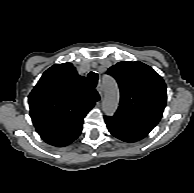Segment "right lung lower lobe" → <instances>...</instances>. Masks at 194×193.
<instances>
[{"mask_svg":"<svg viewBox=\"0 0 194 193\" xmlns=\"http://www.w3.org/2000/svg\"><path fill=\"white\" fill-rule=\"evenodd\" d=\"M82 131V124L78 125L74 130H72L69 133L50 138L45 140L48 144L57 146V147H62L70 144L73 142L81 133Z\"/></svg>","mask_w":194,"mask_h":193,"instance_id":"obj_1","label":"right lung lower lobe"}]
</instances>
